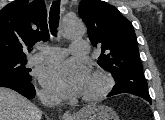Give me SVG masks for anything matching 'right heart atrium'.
<instances>
[{"label": "right heart atrium", "mask_w": 165, "mask_h": 120, "mask_svg": "<svg viewBox=\"0 0 165 120\" xmlns=\"http://www.w3.org/2000/svg\"><path fill=\"white\" fill-rule=\"evenodd\" d=\"M41 95H42V97H44L46 99H50L51 98V95L48 92H46V91H42Z\"/></svg>", "instance_id": "1"}]
</instances>
